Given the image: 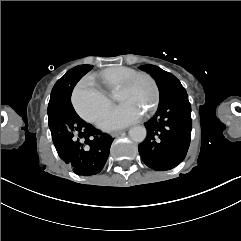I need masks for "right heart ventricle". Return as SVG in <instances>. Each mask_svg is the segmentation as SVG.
Listing matches in <instances>:
<instances>
[{
  "label": "right heart ventricle",
  "instance_id": "obj_1",
  "mask_svg": "<svg viewBox=\"0 0 241 241\" xmlns=\"http://www.w3.org/2000/svg\"><path fill=\"white\" fill-rule=\"evenodd\" d=\"M135 72L133 69L120 66V65H113L104 70L100 73L95 75L97 77L98 83L96 88L98 92H101L104 95L105 89H117L121 85V79L124 75ZM84 83L82 82V85Z\"/></svg>",
  "mask_w": 241,
  "mask_h": 241
}]
</instances>
